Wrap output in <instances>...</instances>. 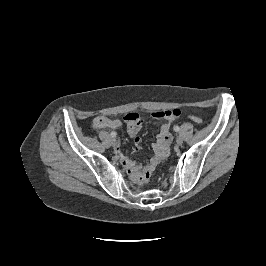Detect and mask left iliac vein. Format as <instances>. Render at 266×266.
<instances>
[{"instance_id": "obj_1", "label": "left iliac vein", "mask_w": 266, "mask_h": 266, "mask_svg": "<svg viewBox=\"0 0 266 266\" xmlns=\"http://www.w3.org/2000/svg\"><path fill=\"white\" fill-rule=\"evenodd\" d=\"M176 143H177V145H182V143H183V138H182L181 136H178V137L176 138Z\"/></svg>"}]
</instances>
